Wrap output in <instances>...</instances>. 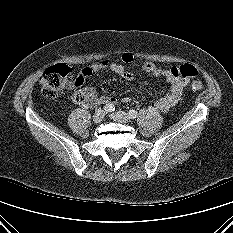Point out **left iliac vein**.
<instances>
[{
    "mask_svg": "<svg viewBox=\"0 0 233 233\" xmlns=\"http://www.w3.org/2000/svg\"><path fill=\"white\" fill-rule=\"evenodd\" d=\"M110 116L114 121H117V122H120V123L127 124L130 121L129 117H128V114L123 112V111H118L116 113L111 114Z\"/></svg>",
    "mask_w": 233,
    "mask_h": 233,
    "instance_id": "1",
    "label": "left iliac vein"
}]
</instances>
